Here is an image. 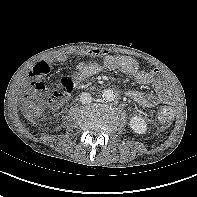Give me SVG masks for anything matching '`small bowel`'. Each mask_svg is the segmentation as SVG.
I'll return each instance as SVG.
<instances>
[{"mask_svg": "<svg viewBox=\"0 0 197 197\" xmlns=\"http://www.w3.org/2000/svg\"><path fill=\"white\" fill-rule=\"evenodd\" d=\"M77 55L82 57L103 58L104 66L109 70H121L133 77L137 83L142 85L152 84L156 88V94L146 93L139 90L127 91V96L137 104L144 107H153L159 102H172L173 90L163 79L159 70L140 69L138 63L129 56L106 54L99 49L80 50ZM56 62L65 63L68 56L65 54L58 55ZM52 60H44L36 64L30 70V77H42L50 73ZM101 69L97 62H80L77 65V73L74 76L76 81L89 78Z\"/></svg>", "mask_w": 197, "mask_h": 197, "instance_id": "small-bowel-1", "label": "small bowel"}]
</instances>
